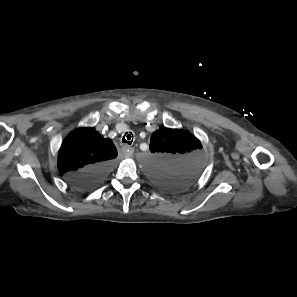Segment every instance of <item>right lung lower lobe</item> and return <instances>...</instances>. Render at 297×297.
Segmentation results:
<instances>
[{
	"instance_id": "98d812e1",
	"label": "right lung lower lobe",
	"mask_w": 297,
	"mask_h": 297,
	"mask_svg": "<svg viewBox=\"0 0 297 297\" xmlns=\"http://www.w3.org/2000/svg\"><path fill=\"white\" fill-rule=\"evenodd\" d=\"M111 168L110 163H100L69 176L68 181L81 190H88L101 184Z\"/></svg>"
}]
</instances>
